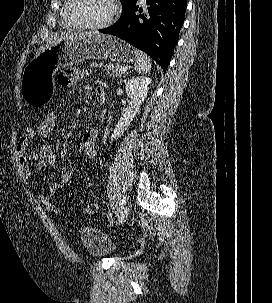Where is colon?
<instances>
[{
  "label": "colon",
  "mask_w": 272,
  "mask_h": 303,
  "mask_svg": "<svg viewBox=\"0 0 272 303\" xmlns=\"http://www.w3.org/2000/svg\"><path fill=\"white\" fill-rule=\"evenodd\" d=\"M58 112L56 109H50L48 110L43 117L41 118L40 122L38 123L36 127L37 135L42 140H50L57 129L58 126ZM73 175V169L68 170L65 172L60 181L57 184L58 189L63 188L72 178ZM97 205L95 203H90L85 207V214L86 215H92L96 212Z\"/></svg>",
  "instance_id": "obj_1"
}]
</instances>
